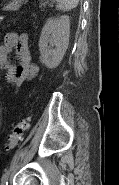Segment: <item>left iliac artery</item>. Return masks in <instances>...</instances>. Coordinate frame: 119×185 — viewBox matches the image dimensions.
I'll list each match as a JSON object with an SVG mask.
<instances>
[{
    "label": "left iliac artery",
    "mask_w": 119,
    "mask_h": 185,
    "mask_svg": "<svg viewBox=\"0 0 119 185\" xmlns=\"http://www.w3.org/2000/svg\"><path fill=\"white\" fill-rule=\"evenodd\" d=\"M9 170H6L1 178V185H8Z\"/></svg>",
    "instance_id": "left-iliac-artery-1"
}]
</instances>
